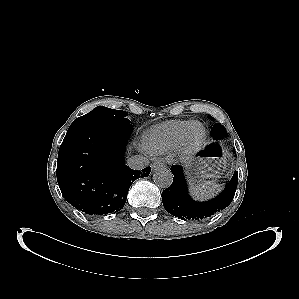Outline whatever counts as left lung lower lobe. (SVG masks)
Wrapping results in <instances>:
<instances>
[{"label": "left lung lower lobe", "instance_id": "0a47b994", "mask_svg": "<svg viewBox=\"0 0 299 299\" xmlns=\"http://www.w3.org/2000/svg\"><path fill=\"white\" fill-rule=\"evenodd\" d=\"M233 153L236 152L233 151ZM171 171L174 175L173 183L162 192V202L165 210L175 217L184 220H202L225 209L234 198L238 183V172L234 173L219 196L206 202H196L188 194L182 167L173 165Z\"/></svg>", "mask_w": 299, "mask_h": 299}]
</instances>
